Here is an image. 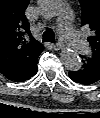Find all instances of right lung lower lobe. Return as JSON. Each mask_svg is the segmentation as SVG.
Instances as JSON below:
<instances>
[{"label": "right lung lower lobe", "instance_id": "98d812e1", "mask_svg": "<svg viewBox=\"0 0 100 118\" xmlns=\"http://www.w3.org/2000/svg\"><path fill=\"white\" fill-rule=\"evenodd\" d=\"M42 51H43V47L35 55L34 59L31 61V63L27 67V70L24 73H22L19 77H17L16 79H13L12 81H16V82L26 81V80L30 79L33 75H35L37 72V65H36L37 58Z\"/></svg>", "mask_w": 100, "mask_h": 118}]
</instances>
